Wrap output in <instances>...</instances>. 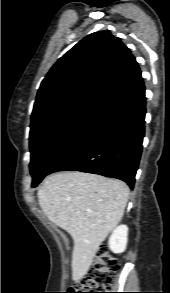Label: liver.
<instances>
[{
    "instance_id": "liver-1",
    "label": "liver",
    "mask_w": 170,
    "mask_h": 293,
    "mask_svg": "<svg viewBox=\"0 0 170 293\" xmlns=\"http://www.w3.org/2000/svg\"><path fill=\"white\" fill-rule=\"evenodd\" d=\"M37 195L47 218L73 238L72 279L77 282L122 219L129 187L96 174L64 172L47 177Z\"/></svg>"
}]
</instances>
